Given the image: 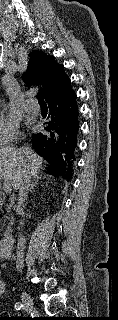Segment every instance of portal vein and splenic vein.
<instances>
[{"instance_id":"18ae733b","label":"portal vein and splenic vein","mask_w":118,"mask_h":320,"mask_svg":"<svg viewBox=\"0 0 118 320\" xmlns=\"http://www.w3.org/2000/svg\"><path fill=\"white\" fill-rule=\"evenodd\" d=\"M0 181H3V190L6 193H10L12 191V184L4 178H0Z\"/></svg>"}]
</instances>
